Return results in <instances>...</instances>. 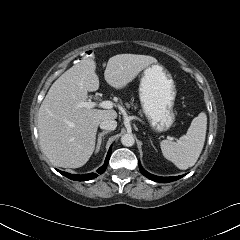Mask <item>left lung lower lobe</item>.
<instances>
[{
	"label": "left lung lower lobe",
	"instance_id": "0a47b994",
	"mask_svg": "<svg viewBox=\"0 0 240 240\" xmlns=\"http://www.w3.org/2000/svg\"><path fill=\"white\" fill-rule=\"evenodd\" d=\"M139 168H140V172L146 176L147 178L153 180V181H156V182H162V183H168V182H172V181H175V180H178L180 178H182L184 175H181V176H175V177H159V176H155V175H152L150 173H148L147 171H145L141 165H139Z\"/></svg>",
	"mask_w": 240,
	"mask_h": 240
}]
</instances>
